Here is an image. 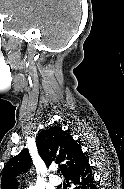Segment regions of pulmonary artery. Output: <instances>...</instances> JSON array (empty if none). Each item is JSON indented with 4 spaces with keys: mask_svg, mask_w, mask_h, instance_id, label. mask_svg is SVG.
Masks as SVG:
<instances>
[{
    "mask_svg": "<svg viewBox=\"0 0 124 189\" xmlns=\"http://www.w3.org/2000/svg\"><path fill=\"white\" fill-rule=\"evenodd\" d=\"M50 183H51L53 186H58V185L61 183V180H60L59 177L53 176V177L50 179Z\"/></svg>",
    "mask_w": 124,
    "mask_h": 189,
    "instance_id": "obj_1",
    "label": "pulmonary artery"
}]
</instances>
